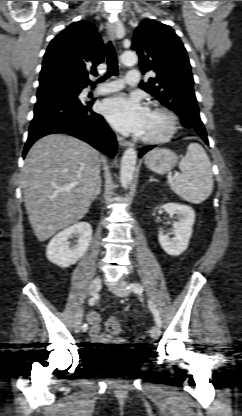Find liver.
Listing matches in <instances>:
<instances>
[{"label": "liver", "instance_id": "liver-1", "mask_svg": "<svg viewBox=\"0 0 242 416\" xmlns=\"http://www.w3.org/2000/svg\"><path fill=\"white\" fill-rule=\"evenodd\" d=\"M101 159L92 146L64 134L47 135L30 148L23 168L24 202L39 241L85 216Z\"/></svg>", "mask_w": 242, "mask_h": 416}]
</instances>
